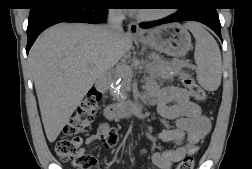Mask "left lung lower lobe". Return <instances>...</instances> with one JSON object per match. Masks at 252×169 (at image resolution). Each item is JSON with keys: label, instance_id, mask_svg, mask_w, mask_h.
<instances>
[{"label": "left lung lower lobe", "instance_id": "1", "mask_svg": "<svg viewBox=\"0 0 252 169\" xmlns=\"http://www.w3.org/2000/svg\"><path fill=\"white\" fill-rule=\"evenodd\" d=\"M217 7L214 5L213 0L204 5H197L191 9L179 10L176 14L154 22L141 23V28H151L161 24L178 22V21H197L205 24L211 28L222 40L221 37V24L219 16L216 11Z\"/></svg>", "mask_w": 252, "mask_h": 169}]
</instances>
